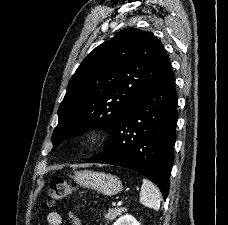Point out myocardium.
I'll return each instance as SVG.
<instances>
[{
  "mask_svg": "<svg viewBox=\"0 0 228 225\" xmlns=\"http://www.w3.org/2000/svg\"><path fill=\"white\" fill-rule=\"evenodd\" d=\"M107 138L106 132L99 127H90L82 134V141L90 146H102Z\"/></svg>",
  "mask_w": 228,
  "mask_h": 225,
  "instance_id": "f54148a6",
  "label": "myocardium"
}]
</instances>
